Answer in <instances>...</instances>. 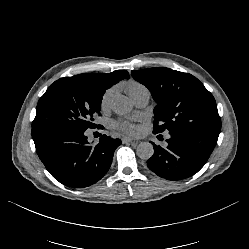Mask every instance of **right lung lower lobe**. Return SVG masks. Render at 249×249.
Segmentation results:
<instances>
[{"label":"right lung lower lobe","mask_w":249,"mask_h":249,"mask_svg":"<svg viewBox=\"0 0 249 249\" xmlns=\"http://www.w3.org/2000/svg\"><path fill=\"white\" fill-rule=\"evenodd\" d=\"M85 131L69 127L32 128L37 154L46 169L60 183L73 188L87 187L100 180L121 144L120 139L102 135L99 143L91 146Z\"/></svg>","instance_id":"right-lung-lower-lobe-1"}]
</instances>
